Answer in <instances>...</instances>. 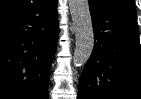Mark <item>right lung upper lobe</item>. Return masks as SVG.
Masks as SVG:
<instances>
[{"instance_id": "right-lung-upper-lobe-1", "label": "right lung upper lobe", "mask_w": 141, "mask_h": 99, "mask_svg": "<svg viewBox=\"0 0 141 99\" xmlns=\"http://www.w3.org/2000/svg\"><path fill=\"white\" fill-rule=\"evenodd\" d=\"M26 0H0V13L5 12L15 6H18Z\"/></svg>"}]
</instances>
